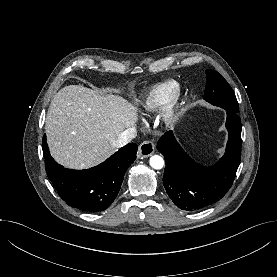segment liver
I'll list each match as a JSON object with an SVG mask.
<instances>
[{
  "label": "liver",
  "instance_id": "1",
  "mask_svg": "<svg viewBox=\"0 0 277 277\" xmlns=\"http://www.w3.org/2000/svg\"><path fill=\"white\" fill-rule=\"evenodd\" d=\"M137 112V107L120 96L66 86L53 97L46 116L50 152L67 168L98 165L116 152L115 140L136 124Z\"/></svg>",
  "mask_w": 277,
  "mask_h": 277
}]
</instances>
